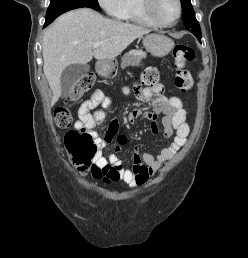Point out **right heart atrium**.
Wrapping results in <instances>:
<instances>
[{"mask_svg": "<svg viewBox=\"0 0 248 258\" xmlns=\"http://www.w3.org/2000/svg\"><path fill=\"white\" fill-rule=\"evenodd\" d=\"M98 3L109 16L120 18L125 10L126 0H98Z\"/></svg>", "mask_w": 248, "mask_h": 258, "instance_id": "obj_1", "label": "right heart atrium"}]
</instances>
